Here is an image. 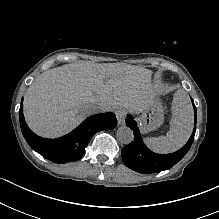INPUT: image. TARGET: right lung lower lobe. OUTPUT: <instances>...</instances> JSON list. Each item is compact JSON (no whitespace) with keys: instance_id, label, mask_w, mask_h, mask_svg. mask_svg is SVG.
<instances>
[{"instance_id":"right-lung-lower-lobe-1","label":"right lung lower lobe","mask_w":219,"mask_h":219,"mask_svg":"<svg viewBox=\"0 0 219 219\" xmlns=\"http://www.w3.org/2000/svg\"><path fill=\"white\" fill-rule=\"evenodd\" d=\"M22 102L23 99L20 105L19 121L24 138L33 150L56 163L79 160L96 132L110 130L117 125L114 113H101L88 117L76 129L63 137L46 139L34 134L27 126L23 116Z\"/></svg>"}]
</instances>
